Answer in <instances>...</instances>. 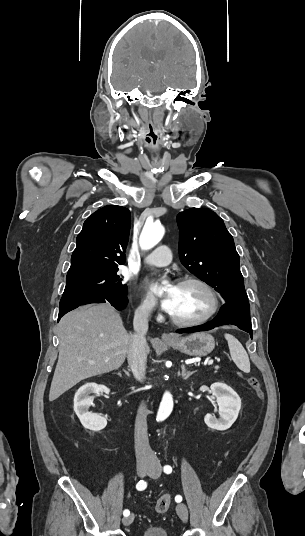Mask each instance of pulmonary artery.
<instances>
[{
  "mask_svg": "<svg viewBox=\"0 0 305 536\" xmlns=\"http://www.w3.org/2000/svg\"><path fill=\"white\" fill-rule=\"evenodd\" d=\"M170 253L171 250L169 247L160 245L149 252L143 261L150 266H166L172 261V258L169 256Z\"/></svg>",
  "mask_w": 305,
  "mask_h": 536,
  "instance_id": "e3ab8cb5",
  "label": "pulmonary artery"
}]
</instances>
